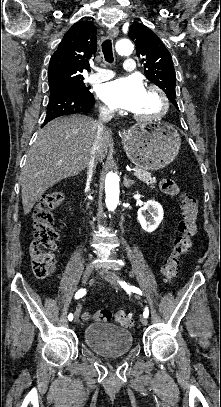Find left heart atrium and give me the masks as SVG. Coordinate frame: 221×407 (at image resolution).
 Segmentation results:
<instances>
[{
	"mask_svg": "<svg viewBox=\"0 0 221 407\" xmlns=\"http://www.w3.org/2000/svg\"><path fill=\"white\" fill-rule=\"evenodd\" d=\"M144 92L142 81L138 77L128 76L103 84L99 89V96L114 109L133 111Z\"/></svg>",
	"mask_w": 221,
	"mask_h": 407,
	"instance_id": "left-heart-atrium-1",
	"label": "left heart atrium"
}]
</instances>
